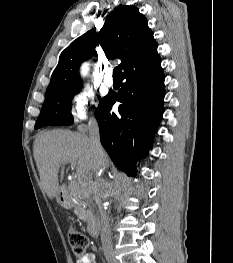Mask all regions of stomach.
<instances>
[{
    "instance_id": "stomach-1",
    "label": "stomach",
    "mask_w": 233,
    "mask_h": 263,
    "mask_svg": "<svg viewBox=\"0 0 233 263\" xmlns=\"http://www.w3.org/2000/svg\"><path fill=\"white\" fill-rule=\"evenodd\" d=\"M57 202L62 206V207H69L70 203H69V199L65 196V195H61L59 193V195L57 196Z\"/></svg>"
}]
</instances>
